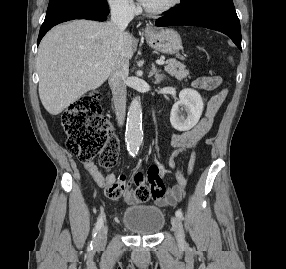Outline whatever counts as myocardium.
Returning <instances> with one entry per match:
<instances>
[{"mask_svg":"<svg viewBox=\"0 0 286 269\" xmlns=\"http://www.w3.org/2000/svg\"><path fill=\"white\" fill-rule=\"evenodd\" d=\"M180 2L181 0H169L167 3L157 8L143 6V10L148 15H161L174 9Z\"/></svg>","mask_w":286,"mask_h":269,"instance_id":"obj_1","label":"myocardium"}]
</instances>
